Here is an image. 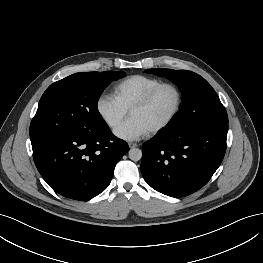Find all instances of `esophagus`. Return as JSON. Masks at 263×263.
<instances>
[{"label":"esophagus","instance_id":"1","mask_svg":"<svg viewBox=\"0 0 263 263\" xmlns=\"http://www.w3.org/2000/svg\"><path fill=\"white\" fill-rule=\"evenodd\" d=\"M128 145H129L130 148H135V147L138 146L137 143H133V142H129Z\"/></svg>","mask_w":263,"mask_h":263}]
</instances>
